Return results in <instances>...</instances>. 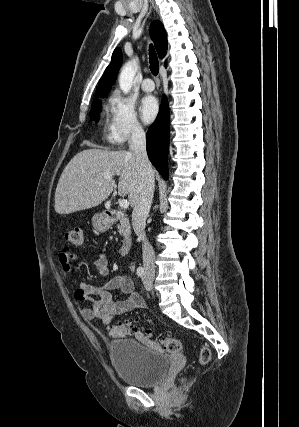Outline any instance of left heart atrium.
<instances>
[{
	"label": "left heart atrium",
	"instance_id": "1",
	"mask_svg": "<svg viewBox=\"0 0 299 427\" xmlns=\"http://www.w3.org/2000/svg\"><path fill=\"white\" fill-rule=\"evenodd\" d=\"M139 113L142 121L151 123L158 113V102L153 96H145L139 104Z\"/></svg>",
	"mask_w": 299,
	"mask_h": 427
}]
</instances>
